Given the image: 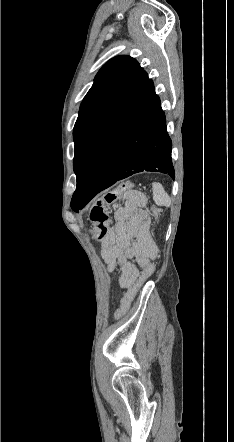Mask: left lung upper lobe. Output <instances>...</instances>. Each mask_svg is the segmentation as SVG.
<instances>
[{
	"label": "left lung upper lobe",
	"instance_id": "left-lung-upper-lobe-1",
	"mask_svg": "<svg viewBox=\"0 0 234 442\" xmlns=\"http://www.w3.org/2000/svg\"><path fill=\"white\" fill-rule=\"evenodd\" d=\"M142 72L143 69L134 58L123 55L110 59L97 73L92 87L81 103L73 130L76 175L90 138Z\"/></svg>",
	"mask_w": 234,
	"mask_h": 442
}]
</instances>
